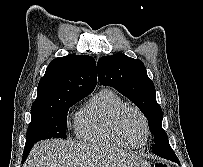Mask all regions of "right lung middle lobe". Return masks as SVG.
<instances>
[{"instance_id": "dd1d6c3e", "label": "right lung middle lobe", "mask_w": 203, "mask_h": 167, "mask_svg": "<svg viewBox=\"0 0 203 167\" xmlns=\"http://www.w3.org/2000/svg\"><path fill=\"white\" fill-rule=\"evenodd\" d=\"M83 98H67L51 105L32 106V118L27 130L26 143L50 138L66 139L67 112Z\"/></svg>"}]
</instances>
